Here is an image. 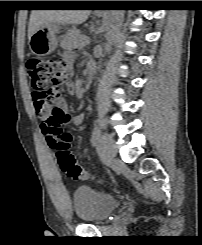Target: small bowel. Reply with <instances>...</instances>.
<instances>
[{
  "label": "small bowel",
  "mask_w": 202,
  "mask_h": 245,
  "mask_svg": "<svg viewBox=\"0 0 202 245\" xmlns=\"http://www.w3.org/2000/svg\"><path fill=\"white\" fill-rule=\"evenodd\" d=\"M60 61L63 62L64 66L69 70V72L72 71L73 63H74V57H73V55L71 53L65 52L62 55ZM67 88H68L70 93H74L75 88H74V86L72 84H70V83L67 84ZM54 109L56 111H58L60 114H62V115H69V109H68V106H67V104H66L64 99H59L55 103ZM35 112H36V114H42V112H43V115H41V116L43 118L47 119L48 115H47L46 112H44V106H40L39 108H36V106H35ZM38 112H40V113H38ZM83 119H84V116L83 115H79V116H76V117L73 118V122L75 124H80L83 121ZM42 132L46 133L44 127L42 128Z\"/></svg>",
  "instance_id": "1"
}]
</instances>
